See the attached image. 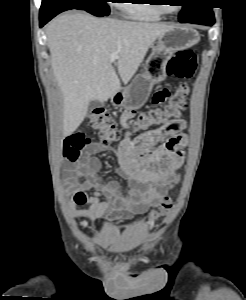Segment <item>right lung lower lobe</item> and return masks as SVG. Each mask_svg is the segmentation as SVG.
Masks as SVG:
<instances>
[{
    "instance_id": "right-lung-lower-lobe-1",
    "label": "right lung lower lobe",
    "mask_w": 246,
    "mask_h": 300,
    "mask_svg": "<svg viewBox=\"0 0 246 300\" xmlns=\"http://www.w3.org/2000/svg\"><path fill=\"white\" fill-rule=\"evenodd\" d=\"M70 9H75V8H71V7H59V8L51 10L50 12H48L46 14H40V16H39L40 27L44 26L48 21H50L57 14H59V13H61L63 11H66V10H70Z\"/></svg>"
}]
</instances>
